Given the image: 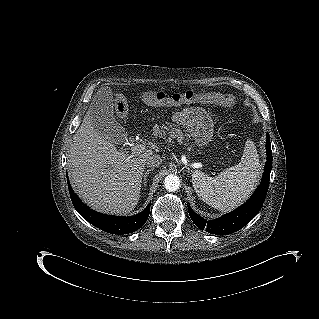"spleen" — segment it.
I'll return each instance as SVG.
<instances>
[{
    "label": "spleen",
    "instance_id": "obj_1",
    "mask_svg": "<svg viewBox=\"0 0 319 319\" xmlns=\"http://www.w3.org/2000/svg\"><path fill=\"white\" fill-rule=\"evenodd\" d=\"M261 174L258 153L253 141L247 140L241 161L209 177L202 171H194L192 183L198 197L220 211H230L245 201L255 188Z\"/></svg>",
    "mask_w": 319,
    "mask_h": 319
}]
</instances>
